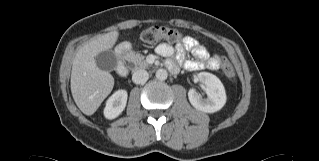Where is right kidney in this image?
<instances>
[{
	"label": "right kidney",
	"instance_id": "obj_1",
	"mask_svg": "<svg viewBox=\"0 0 319 161\" xmlns=\"http://www.w3.org/2000/svg\"><path fill=\"white\" fill-rule=\"evenodd\" d=\"M127 97L126 90L121 89L114 92L106 101L104 108L105 118L112 120L118 117L126 107Z\"/></svg>",
	"mask_w": 319,
	"mask_h": 161
}]
</instances>
